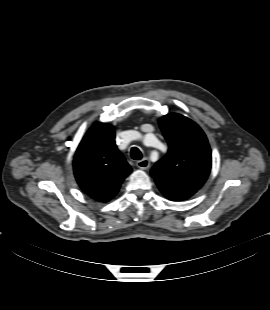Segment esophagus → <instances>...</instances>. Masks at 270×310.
Listing matches in <instances>:
<instances>
[{"label": "esophagus", "instance_id": "34e87169", "mask_svg": "<svg viewBox=\"0 0 270 310\" xmlns=\"http://www.w3.org/2000/svg\"><path fill=\"white\" fill-rule=\"evenodd\" d=\"M137 167L142 169V170H146L150 167V162L147 158H144L140 161L137 162Z\"/></svg>", "mask_w": 270, "mask_h": 310}]
</instances>
